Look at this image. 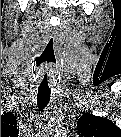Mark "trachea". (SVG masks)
I'll return each mask as SVG.
<instances>
[{
	"label": "trachea",
	"instance_id": "obj_1",
	"mask_svg": "<svg viewBox=\"0 0 121 137\" xmlns=\"http://www.w3.org/2000/svg\"><path fill=\"white\" fill-rule=\"evenodd\" d=\"M55 60V43L54 37L51 36L48 40L46 48L43 52V61L47 65H51ZM50 74L44 70L41 75V84L38 89L37 105L40 110H43L49 103L51 90L49 88Z\"/></svg>",
	"mask_w": 121,
	"mask_h": 137
}]
</instances>
